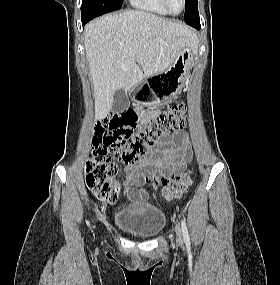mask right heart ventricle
Here are the masks:
<instances>
[{
  "label": "right heart ventricle",
  "mask_w": 280,
  "mask_h": 285,
  "mask_svg": "<svg viewBox=\"0 0 280 285\" xmlns=\"http://www.w3.org/2000/svg\"><path fill=\"white\" fill-rule=\"evenodd\" d=\"M131 4L141 10L159 15H169L161 0H130Z\"/></svg>",
  "instance_id": "1"
}]
</instances>
